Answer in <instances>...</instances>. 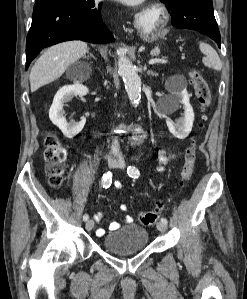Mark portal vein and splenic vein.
<instances>
[{"mask_svg": "<svg viewBox=\"0 0 247 299\" xmlns=\"http://www.w3.org/2000/svg\"><path fill=\"white\" fill-rule=\"evenodd\" d=\"M156 63H161V64H165V63H167V60L166 59H151V60H149V64L150 65H153V64H156Z\"/></svg>", "mask_w": 247, "mask_h": 299, "instance_id": "1", "label": "portal vein and splenic vein"}]
</instances>
